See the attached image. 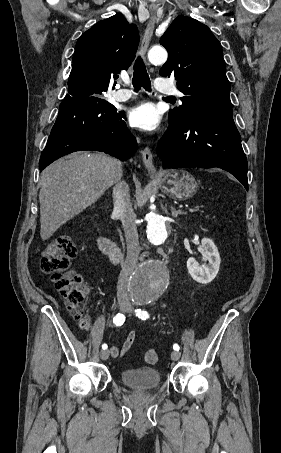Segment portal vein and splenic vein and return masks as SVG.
<instances>
[{"label": "portal vein and splenic vein", "mask_w": 281, "mask_h": 453, "mask_svg": "<svg viewBox=\"0 0 281 453\" xmlns=\"http://www.w3.org/2000/svg\"><path fill=\"white\" fill-rule=\"evenodd\" d=\"M180 208L182 207L181 205L179 206ZM185 208H187L188 212H198V207H188V205H185ZM185 210V209H184ZM203 213H206V210L202 211Z\"/></svg>", "instance_id": "1"}]
</instances>
